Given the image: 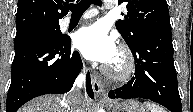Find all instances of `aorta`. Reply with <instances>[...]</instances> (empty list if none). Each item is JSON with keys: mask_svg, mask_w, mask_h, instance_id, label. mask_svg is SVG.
<instances>
[{"mask_svg": "<svg viewBox=\"0 0 193 112\" xmlns=\"http://www.w3.org/2000/svg\"><path fill=\"white\" fill-rule=\"evenodd\" d=\"M100 112H104V110H103V109H100Z\"/></svg>", "mask_w": 193, "mask_h": 112, "instance_id": "aorta-1", "label": "aorta"}]
</instances>
